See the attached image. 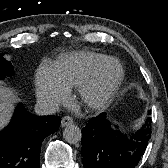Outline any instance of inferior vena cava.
Listing matches in <instances>:
<instances>
[{"label":"inferior vena cava","instance_id":"obj_1","mask_svg":"<svg viewBox=\"0 0 168 168\" xmlns=\"http://www.w3.org/2000/svg\"><path fill=\"white\" fill-rule=\"evenodd\" d=\"M37 115H52L58 110V105L50 101H38L35 105Z\"/></svg>","mask_w":168,"mask_h":168}]
</instances>
